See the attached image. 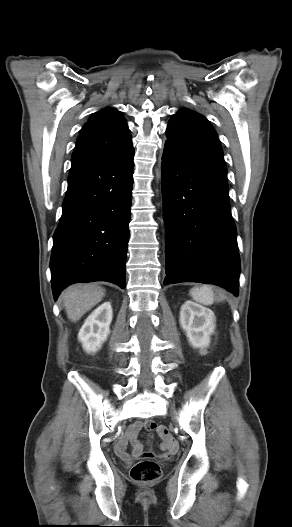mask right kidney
<instances>
[{"label":"right kidney","mask_w":292,"mask_h":527,"mask_svg":"<svg viewBox=\"0 0 292 527\" xmlns=\"http://www.w3.org/2000/svg\"><path fill=\"white\" fill-rule=\"evenodd\" d=\"M112 321V307L110 302H105L86 319L78 333V339L82 342L84 350L94 353L101 348L110 333Z\"/></svg>","instance_id":"right-kidney-1"}]
</instances>
